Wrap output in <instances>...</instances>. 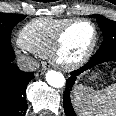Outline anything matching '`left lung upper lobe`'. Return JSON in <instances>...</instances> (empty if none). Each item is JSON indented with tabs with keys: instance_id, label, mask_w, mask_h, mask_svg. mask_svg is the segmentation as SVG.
Segmentation results:
<instances>
[{
	"instance_id": "1",
	"label": "left lung upper lobe",
	"mask_w": 116,
	"mask_h": 116,
	"mask_svg": "<svg viewBox=\"0 0 116 116\" xmlns=\"http://www.w3.org/2000/svg\"><path fill=\"white\" fill-rule=\"evenodd\" d=\"M90 17L95 18L103 32V42L96 54H107L116 51V21L94 14Z\"/></svg>"
}]
</instances>
